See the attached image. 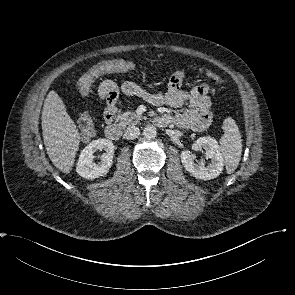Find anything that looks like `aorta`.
Returning a JSON list of instances; mask_svg holds the SVG:
<instances>
[{"label": "aorta", "instance_id": "1", "mask_svg": "<svg viewBox=\"0 0 295 295\" xmlns=\"http://www.w3.org/2000/svg\"><path fill=\"white\" fill-rule=\"evenodd\" d=\"M143 134L146 138L153 139L157 135V129L153 125H147L143 130Z\"/></svg>", "mask_w": 295, "mask_h": 295}]
</instances>
